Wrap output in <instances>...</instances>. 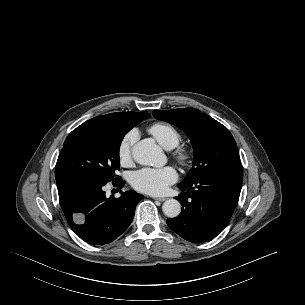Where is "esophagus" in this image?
I'll return each mask as SVG.
<instances>
[{
	"label": "esophagus",
	"instance_id": "obj_1",
	"mask_svg": "<svg viewBox=\"0 0 305 305\" xmlns=\"http://www.w3.org/2000/svg\"><path fill=\"white\" fill-rule=\"evenodd\" d=\"M154 200L163 202V201L167 200V198L166 197H154Z\"/></svg>",
	"mask_w": 305,
	"mask_h": 305
}]
</instances>
